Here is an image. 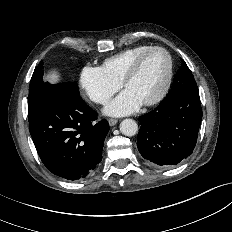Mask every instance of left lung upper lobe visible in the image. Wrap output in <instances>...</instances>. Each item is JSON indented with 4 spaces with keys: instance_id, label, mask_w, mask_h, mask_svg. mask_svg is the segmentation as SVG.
Wrapping results in <instances>:
<instances>
[{
    "instance_id": "left-lung-upper-lobe-1",
    "label": "left lung upper lobe",
    "mask_w": 232,
    "mask_h": 232,
    "mask_svg": "<svg viewBox=\"0 0 232 232\" xmlns=\"http://www.w3.org/2000/svg\"><path fill=\"white\" fill-rule=\"evenodd\" d=\"M172 89H176L182 93L199 94L192 72L184 60H182V66L175 75Z\"/></svg>"
}]
</instances>
